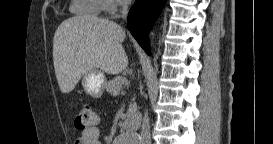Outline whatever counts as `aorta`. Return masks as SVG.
<instances>
[{
    "label": "aorta",
    "mask_w": 273,
    "mask_h": 144,
    "mask_svg": "<svg viewBox=\"0 0 273 144\" xmlns=\"http://www.w3.org/2000/svg\"><path fill=\"white\" fill-rule=\"evenodd\" d=\"M153 38L154 33H150V41L153 45ZM120 144H137L138 143V136L133 133H127L119 137Z\"/></svg>",
    "instance_id": "1"
}]
</instances>
